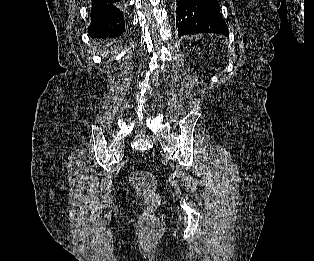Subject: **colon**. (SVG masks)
Masks as SVG:
<instances>
[{
  "instance_id": "colon-1",
  "label": "colon",
  "mask_w": 314,
  "mask_h": 261,
  "mask_svg": "<svg viewBox=\"0 0 314 261\" xmlns=\"http://www.w3.org/2000/svg\"><path fill=\"white\" fill-rule=\"evenodd\" d=\"M129 180L136 189L138 195L147 202L141 216L143 224L150 229L159 228L158 221L155 217V209L160 205V196L155 192L156 179L152 172L147 170H136L130 173Z\"/></svg>"
}]
</instances>
